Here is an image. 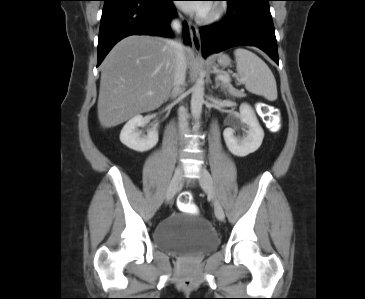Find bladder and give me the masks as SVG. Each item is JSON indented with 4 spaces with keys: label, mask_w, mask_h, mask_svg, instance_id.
I'll return each mask as SVG.
<instances>
[{
    "label": "bladder",
    "mask_w": 365,
    "mask_h": 299,
    "mask_svg": "<svg viewBox=\"0 0 365 299\" xmlns=\"http://www.w3.org/2000/svg\"><path fill=\"white\" fill-rule=\"evenodd\" d=\"M152 237L160 250L177 255H203L219 245V237L207 219L184 211L161 220Z\"/></svg>",
    "instance_id": "31cf9c89"
}]
</instances>
